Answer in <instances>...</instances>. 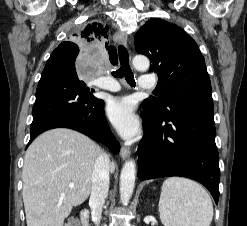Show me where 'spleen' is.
<instances>
[{"mask_svg":"<svg viewBox=\"0 0 247 226\" xmlns=\"http://www.w3.org/2000/svg\"><path fill=\"white\" fill-rule=\"evenodd\" d=\"M159 205L166 226H210L213 218L212 201L205 189L182 177L163 182Z\"/></svg>","mask_w":247,"mask_h":226,"instance_id":"obj_1","label":"spleen"}]
</instances>
